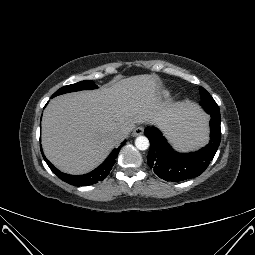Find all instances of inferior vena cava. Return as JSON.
<instances>
[{
    "label": "inferior vena cava",
    "instance_id": "1",
    "mask_svg": "<svg viewBox=\"0 0 255 255\" xmlns=\"http://www.w3.org/2000/svg\"><path fill=\"white\" fill-rule=\"evenodd\" d=\"M128 135L126 130H117L116 132H114V138L116 140H123L124 138H126Z\"/></svg>",
    "mask_w": 255,
    "mask_h": 255
}]
</instances>
